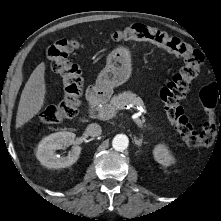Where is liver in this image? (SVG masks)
I'll list each match as a JSON object with an SVG mask.
<instances>
[{
	"label": "liver",
	"mask_w": 221,
	"mask_h": 221,
	"mask_svg": "<svg viewBox=\"0 0 221 221\" xmlns=\"http://www.w3.org/2000/svg\"><path fill=\"white\" fill-rule=\"evenodd\" d=\"M44 76L45 63L41 62L30 75L22 91L16 115V128L26 124L42 109L46 94Z\"/></svg>",
	"instance_id": "1"
}]
</instances>
